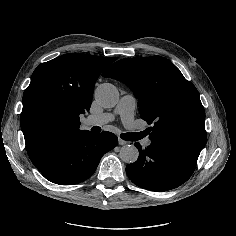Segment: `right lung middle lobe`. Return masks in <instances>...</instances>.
Returning a JSON list of instances; mask_svg holds the SVG:
<instances>
[{
  "label": "right lung middle lobe",
  "instance_id": "right-lung-middle-lobe-1",
  "mask_svg": "<svg viewBox=\"0 0 236 236\" xmlns=\"http://www.w3.org/2000/svg\"><path fill=\"white\" fill-rule=\"evenodd\" d=\"M38 121L39 124L46 129H53L58 124L57 116L49 110L42 111L38 117Z\"/></svg>",
  "mask_w": 236,
  "mask_h": 236
}]
</instances>
